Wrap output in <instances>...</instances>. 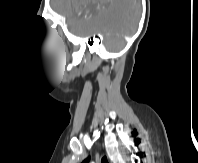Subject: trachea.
I'll list each match as a JSON object with an SVG mask.
<instances>
[{"instance_id": "obj_1", "label": "trachea", "mask_w": 198, "mask_h": 163, "mask_svg": "<svg viewBox=\"0 0 198 163\" xmlns=\"http://www.w3.org/2000/svg\"><path fill=\"white\" fill-rule=\"evenodd\" d=\"M101 163H108L107 158L103 157L102 160H101Z\"/></svg>"}]
</instances>
